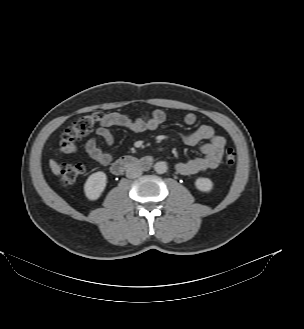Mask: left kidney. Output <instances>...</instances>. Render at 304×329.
Masks as SVG:
<instances>
[{"label":"left kidney","mask_w":304,"mask_h":329,"mask_svg":"<svg viewBox=\"0 0 304 329\" xmlns=\"http://www.w3.org/2000/svg\"><path fill=\"white\" fill-rule=\"evenodd\" d=\"M195 186L202 192H210L213 188V182L209 178L200 177L196 179Z\"/></svg>","instance_id":"5707ae66"}]
</instances>
